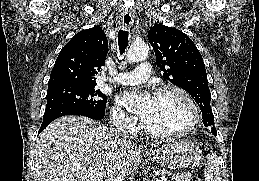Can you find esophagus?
I'll return each instance as SVG.
<instances>
[{
	"label": "esophagus",
	"mask_w": 259,
	"mask_h": 181,
	"mask_svg": "<svg viewBox=\"0 0 259 181\" xmlns=\"http://www.w3.org/2000/svg\"><path fill=\"white\" fill-rule=\"evenodd\" d=\"M122 24L125 27H129L132 24V15H131V13L125 12L122 15ZM140 148H143V146H140Z\"/></svg>",
	"instance_id": "esophagus-1"
}]
</instances>
